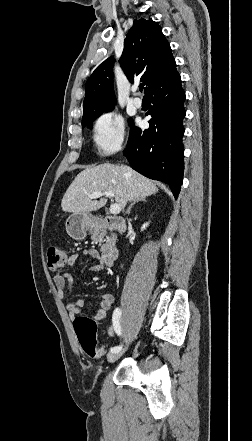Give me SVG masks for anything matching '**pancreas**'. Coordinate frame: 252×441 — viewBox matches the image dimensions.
Wrapping results in <instances>:
<instances>
[{
  "instance_id": "pancreas-1",
  "label": "pancreas",
  "mask_w": 252,
  "mask_h": 441,
  "mask_svg": "<svg viewBox=\"0 0 252 441\" xmlns=\"http://www.w3.org/2000/svg\"><path fill=\"white\" fill-rule=\"evenodd\" d=\"M93 240H98L100 242H102V237L101 236H93ZM116 240V235L114 233H111L110 236H106V243L102 245L101 247V252H105L108 248L112 247L114 245V242Z\"/></svg>"
}]
</instances>
